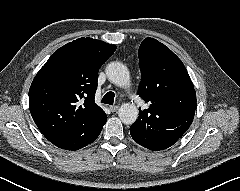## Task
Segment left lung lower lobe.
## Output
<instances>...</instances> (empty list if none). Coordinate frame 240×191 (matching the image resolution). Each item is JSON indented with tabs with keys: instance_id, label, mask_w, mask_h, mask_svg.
<instances>
[{
	"instance_id": "1",
	"label": "left lung lower lobe",
	"mask_w": 240,
	"mask_h": 191,
	"mask_svg": "<svg viewBox=\"0 0 240 191\" xmlns=\"http://www.w3.org/2000/svg\"><path fill=\"white\" fill-rule=\"evenodd\" d=\"M138 117L135 123L130 127V133L134 141L150 150H163L173 145L178 139L170 130H162L155 124L144 125L145 120ZM152 126V127H148ZM145 127L148 130L145 131Z\"/></svg>"
}]
</instances>
